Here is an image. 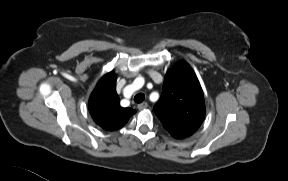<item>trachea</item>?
I'll use <instances>...</instances> for the list:
<instances>
[{
  "mask_svg": "<svg viewBox=\"0 0 288 181\" xmlns=\"http://www.w3.org/2000/svg\"><path fill=\"white\" fill-rule=\"evenodd\" d=\"M145 99V95L143 93H138L137 95H135L134 97V101L136 103H142Z\"/></svg>",
  "mask_w": 288,
  "mask_h": 181,
  "instance_id": "obj_1",
  "label": "trachea"
}]
</instances>
